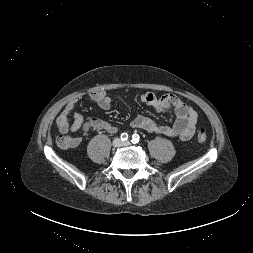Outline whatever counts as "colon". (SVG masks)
Listing matches in <instances>:
<instances>
[{"label": "colon", "instance_id": "5ec220e1", "mask_svg": "<svg viewBox=\"0 0 253 253\" xmlns=\"http://www.w3.org/2000/svg\"><path fill=\"white\" fill-rule=\"evenodd\" d=\"M207 139V135L204 129H200L197 133V141L202 143ZM57 143L61 148H69L70 139L67 135H60L57 138Z\"/></svg>", "mask_w": 253, "mask_h": 253}]
</instances>
